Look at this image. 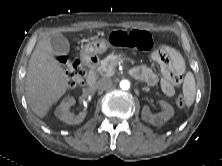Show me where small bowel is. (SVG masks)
<instances>
[{
  "label": "small bowel",
  "instance_id": "obj_1",
  "mask_svg": "<svg viewBox=\"0 0 222 166\" xmlns=\"http://www.w3.org/2000/svg\"><path fill=\"white\" fill-rule=\"evenodd\" d=\"M150 58L158 63L163 79L161 89L167 96L175 93V88L181 84L185 73V62L181 54L170 46H160L150 53ZM132 75L145 81L148 85L154 86L158 82L157 75L149 68L139 66L132 70Z\"/></svg>",
  "mask_w": 222,
  "mask_h": 166
}]
</instances>
